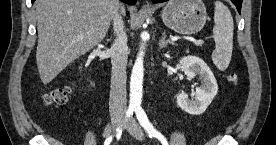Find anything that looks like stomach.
<instances>
[{
  "mask_svg": "<svg viewBox=\"0 0 276 145\" xmlns=\"http://www.w3.org/2000/svg\"><path fill=\"white\" fill-rule=\"evenodd\" d=\"M161 17L164 24L175 32L192 35L205 25L207 12L202 0H170Z\"/></svg>",
  "mask_w": 276,
  "mask_h": 145,
  "instance_id": "1",
  "label": "stomach"
}]
</instances>
